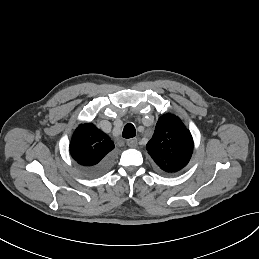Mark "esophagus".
I'll use <instances>...</instances> for the list:
<instances>
[{
	"instance_id": "1",
	"label": "esophagus",
	"mask_w": 259,
	"mask_h": 259,
	"mask_svg": "<svg viewBox=\"0 0 259 259\" xmlns=\"http://www.w3.org/2000/svg\"><path fill=\"white\" fill-rule=\"evenodd\" d=\"M137 139L136 138H132L127 140V145L131 148H135L137 146Z\"/></svg>"
}]
</instances>
